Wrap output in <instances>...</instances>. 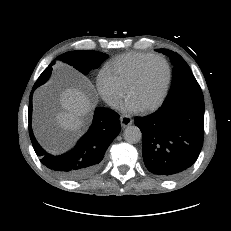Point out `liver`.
Masks as SVG:
<instances>
[{"label": "liver", "mask_w": 231, "mask_h": 231, "mask_svg": "<svg viewBox=\"0 0 231 231\" xmlns=\"http://www.w3.org/2000/svg\"><path fill=\"white\" fill-rule=\"evenodd\" d=\"M89 86V85H88ZM90 88V86L88 87ZM61 110L37 115L34 122L35 134L38 140L48 143V123H54L66 131H77L84 125V118L91 112L93 103L89 96V89L69 87L59 94Z\"/></svg>", "instance_id": "liver-1"}]
</instances>
